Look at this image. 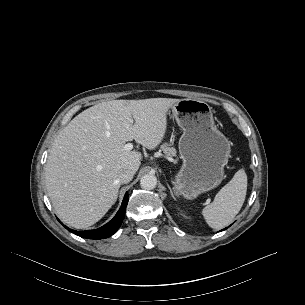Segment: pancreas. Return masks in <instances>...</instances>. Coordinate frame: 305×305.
<instances>
[{"mask_svg":"<svg viewBox=\"0 0 305 305\" xmlns=\"http://www.w3.org/2000/svg\"><path fill=\"white\" fill-rule=\"evenodd\" d=\"M161 150L169 158L176 156V149L174 147H171V144L168 143L162 144Z\"/></svg>","mask_w":305,"mask_h":305,"instance_id":"pancreas-1","label":"pancreas"}]
</instances>
